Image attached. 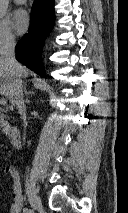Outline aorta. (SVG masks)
<instances>
[{"instance_id": "762f6f07", "label": "aorta", "mask_w": 128, "mask_h": 213, "mask_svg": "<svg viewBox=\"0 0 128 213\" xmlns=\"http://www.w3.org/2000/svg\"><path fill=\"white\" fill-rule=\"evenodd\" d=\"M9 0H0V17H3L7 11Z\"/></svg>"}]
</instances>
